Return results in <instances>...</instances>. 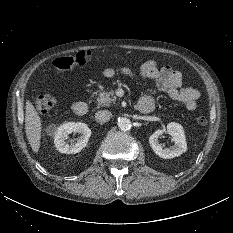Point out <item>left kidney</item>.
Masks as SVG:
<instances>
[{"label":"left kidney","instance_id":"1","mask_svg":"<svg viewBox=\"0 0 233 233\" xmlns=\"http://www.w3.org/2000/svg\"><path fill=\"white\" fill-rule=\"evenodd\" d=\"M164 133L163 130H156L149 137V144L153 151L163 159H171L180 156L187 150V143L183 127L175 122H171L167 125V133L171 135L175 145L170 148H163L158 141L159 136Z\"/></svg>","mask_w":233,"mask_h":233}]
</instances>
